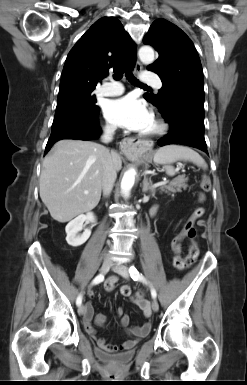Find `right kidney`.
<instances>
[{"instance_id": "1", "label": "right kidney", "mask_w": 247, "mask_h": 385, "mask_svg": "<svg viewBox=\"0 0 247 385\" xmlns=\"http://www.w3.org/2000/svg\"><path fill=\"white\" fill-rule=\"evenodd\" d=\"M85 221L94 223V214L91 212L87 213L86 215L81 214L67 224L65 228L67 234L66 241L70 246L78 247L84 244L89 239L91 235L90 229H85L81 235H78V232L82 230L83 223Z\"/></svg>"}]
</instances>
